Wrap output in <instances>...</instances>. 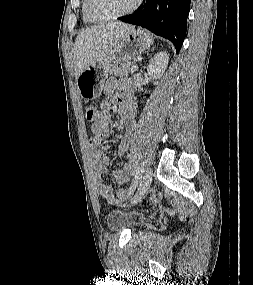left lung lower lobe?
<instances>
[{"label": "left lung lower lobe", "instance_id": "0a47b994", "mask_svg": "<svg viewBox=\"0 0 253 285\" xmlns=\"http://www.w3.org/2000/svg\"><path fill=\"white\" fill-rule=\"evenodd\" d=\"M191 0H146L134 14L119 20L142 26L169 39L179 52L187 29Z\"/></svg>", "mask_w": 253, "mask_h": 285}]
</instances>
